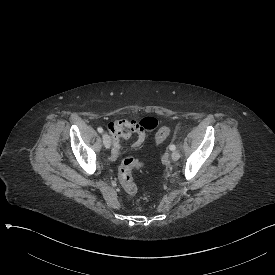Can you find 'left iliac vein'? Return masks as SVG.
I'll return each instance as SVG.
<instances>
[{
  "label": "left iliac vein",
  "mask_w": 275,
  "mask_h": 275,
  "mask_svg": "<svg viewBox=\"0 0 275 275\" xmlns=\"http://www.w3.org/2000/svg\"><path fill=\"white\" fill-rule=\"evenodd\" d=\"M171 158L173 161H177L180 158V154L177 150H174L171 154Z\"/></svg>",
  "instance_id": "4c4485c4"
}]
</instances>
